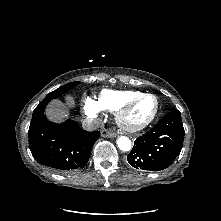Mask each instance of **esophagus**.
I'll return each instance as SVG.
<instances>
[{
  "label": "esophagus",
  "instance_id": "esophagus-1",
  "mask_svg": "<svg viewBox=\"0 0 221 221\" xmlns=\"http://www.w3.org/2000/svg\"><path fill=\"white\" fill-rule=\"evenodd\" d=\"M101 136L102 137H106V138H113L116 136V134L113 131L107 130V129H103L101 131Z\"/></svg>",
  "mask_w": 221,
  "mask_h": 221
}]
</instances>
